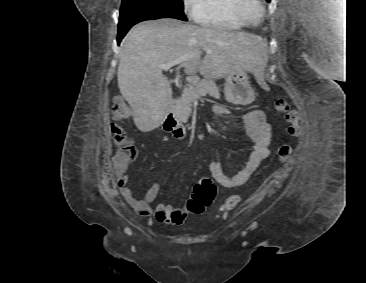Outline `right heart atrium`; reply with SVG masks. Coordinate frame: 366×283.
Masks as SVG:
<instances>
[{
    "label": "right heart atrium",
    "instance_id": "1",
    "mask_svg": "<svg viewBox=\"0 0 366 283\" xmlns=\"http://www.w3.org/2000/svg\"><path fill=\"white\" fill-rule=\"evenodd\" d=\"M206 0H182L186 14L198 21L203 14Z\"/></svg>",
    "mask_w": 366,
    "mask_h": 283
}]
</instances>
